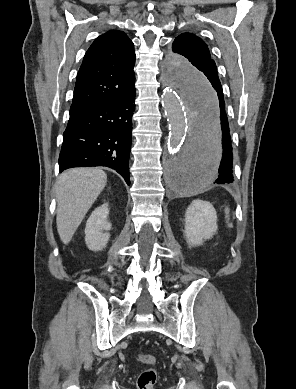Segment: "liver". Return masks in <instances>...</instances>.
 <instances>
[{
  "label": "liver",
  "mask_w": 296,
  "mask_h": 389,
  "mask_svg": "<svg viewBox=\"0 0 296 389\" xmlns=\"http://www.w3.org/2000/svg\"><path fill=\"white\" fill-rule=\"evenodd\" d=\"M106 183V173L98 168L70 169L59 176L56 184V223L64 244L70 242Z\"/></svg>",
  "instance_id": "liver-1"
}]
</instances>
